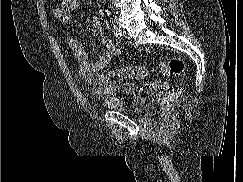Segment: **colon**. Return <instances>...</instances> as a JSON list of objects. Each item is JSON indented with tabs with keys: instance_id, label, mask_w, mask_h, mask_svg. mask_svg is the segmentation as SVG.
<instances>
[{
	"instance_id": "obj_1",
	"label": "colon",
	"mask_w": 243,
	"mask_h": 182,
	"mask_svg": "<svg viewBox=\"0 0 243 182\" xmlns=\"http://www.w3.org/2000/svg\"><path fill=\"white\" fill-rule=\"evenodd\" d=\"M184 69V61L175 56L165 59L159 64V70L166 74L180 75L184 72ZM112 74L117 77L142 79L148 75V70L142 66H127L114 70ZM179 96L180 90L175 89L161 95L159 99L162 106L167 109Z\"/></svg>"
}]
</instances>
